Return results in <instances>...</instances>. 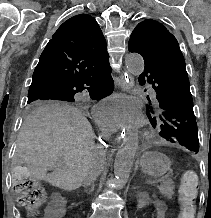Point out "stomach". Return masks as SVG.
Wrapping results in <instances>:
<instances>
[{"label":"stomach","mask_w":211,"mask_h":218,"mask_svg":"<svg viewBox=\"0 0 211 218\" xmlns=\"http://www.w3.org/2000/svg\"><path fill=\"white\" fill-rule=\"evenodd\" d=\"M170 166L169 158L160 152H146L140 160L142 172L154 178L164 176Z\"/></svg>","instance_id":"0dacf381"}]
</instances>
